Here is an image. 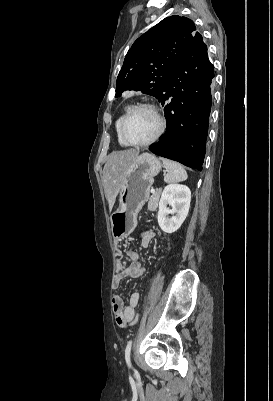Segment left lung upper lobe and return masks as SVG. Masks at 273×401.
I'll return each mask as SVG.
<instances>
[{"label":"left lung upper lobe","instance_id":"1","mask_svg":"<svg viewBox=\"0 0 273 401\" xmlns=\"http://www.w3.org/2000/svg\"><path fill=\"white\" fill-rule=\"evenodd\" d=\"M202 36L192 20L169 16L140 36L129 49L116 81V95L125 90L158 96L190 46Z\"/></svg>","mask_w":273,"mask_h":401}]
</instances>
